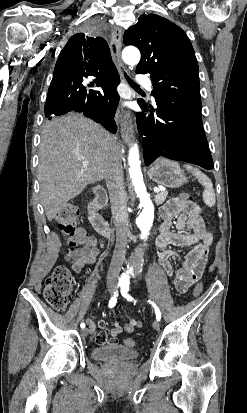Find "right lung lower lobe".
I'll use <instances>...</instances> for the list:
<instances>
[{
    "mask_svg": "<svg viewBox=\"0 0 247 413\" xmlns=\"http://www.w3.org/2000/svg\"><path fill=\"white\" fill-rule=\"evenodd\" d=\"M88 76L66 75L53 79L51 83L65 84L71 88L68 95L57 99L46 100L45 116L52 119L54 116L66 113H83L84 116L102 124L108 131L116 133L117 125L114 121L119 95L116 87L120 83L119 74L96 77L97 86L104 90V96L98 91L87 90L83 80Z\"/></svg>",
    "mask_w": 247,
    "mask_h": 413,
    "instance_id": "obj_1",
    "label": "right lung lower lobe"
}]
</instances>
